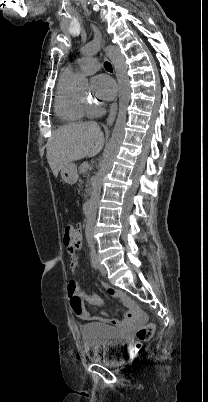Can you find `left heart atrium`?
Segmentation results:
<instances>
[{"mask_svg": "<svg viewBox=\"0 0 208 402\" xmlns=\"http://www.w3.org/2000/svg\"><path fill=\"white\" fill-rule=\"evenodd\" d=\"M94 82L99 90L98 97L100 99L110 101L116 96V84L108 75L99 74L95 77Z\"/></svg>", "mask_w": 208, "mask_h": 402, "instance_id": "left-heart-atrium-1", "label": "left heart atrium"}]
</instances>
